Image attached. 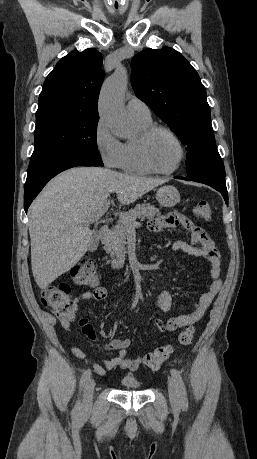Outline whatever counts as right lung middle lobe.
Segmentation results:
<instances>
[{"instance_id": "right-lung-middle-lobe-1", "label": "right lung middle lobe", "mask_w": 257, "mask_h": 459, "mask_svg": "<svg viewBox=\"0 0 257 459\" xmlns=\"http://www.w3.org/2000/svg\"><path fill=\"white\" fill-rule=\"evenodd\" d=\"M99 116L67 110L36 113L35 146L31 159L57 153H77L102 164L97 150Z\"/></svg>"}]
</instances>
